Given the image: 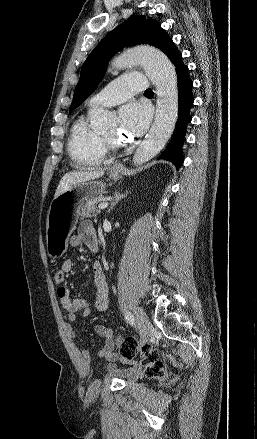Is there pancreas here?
I'll return each mask as SVG.
<instances>
[{
    "label": "pancreas",
    "instance_id": "cf45deb5",
    "mask_svg": "<svg viewBox=\"0 0 257 439\" xmlns=\"http://www.w3.org/2000/svg\"><path fill=\"white\" fill-rule=\"evenodd\" d=\"M104 200L105 198L102 196L87 200L86 203L82 206L81 212L79 213L81 219L96 217L97 214H100V210L97 209V204Z\"/></svg>",
    "mask_w": 257,
    "mask_h": 439
}]
</instances>
